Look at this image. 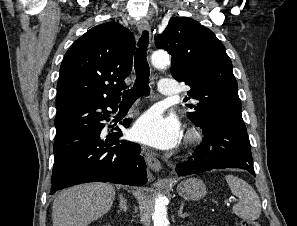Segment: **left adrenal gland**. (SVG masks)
Returning <instances> with one entry per match:
<instances>
[{"mask_svg": "<svg viewBox=\"0 0 297 226\" xmlns=\"http://www.w3.org/2000/svg\"><path fill=\"white\" fill-rule=\"evenodd\" d=\"M183 207H184V203H182L181 206H180V209L178 211V216L179 217H182V218H185V217L188 216V214L187 213H183Z\"/></svg>", "mask_w": 297, "mask_h": 226, "instance_id": "obj_1", "label": "left adrenal gland"}]
</instances>
